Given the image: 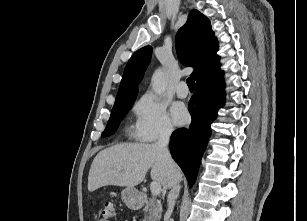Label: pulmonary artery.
Returning a JSON list of instances; mask_svg holds the SVG:
<instances>
[{
    "label": "pulmonary artery",
    "instance_id": "pulmonary-artery-1",
    "mask_svg": "<svg viewBox=\"0 0 307 221\" xmlns=\"http://www.w3.org/2000/svg\"><path fill=\"white\" fill-rule=\"evenodd\" d=\"M176 94L179 98H186L188 96L189 91L185 82H180L177 85Z\"/></svg>",
    "mask_w": 307,
    "mask_h": 221
}]
</instances>
